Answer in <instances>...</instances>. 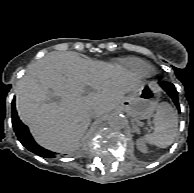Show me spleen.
<instances>
[{
    "mask_svg": "<svg viewBox=\"0 0 194 193\" xmlns=\"http://www.w3.org/2000/svg\"><path fill=\"white\" fill-rule=\"evenodd\" d=\"M154 132L146 134L142 140L160 148H166L174 141L178 126V117L172 107L161 103L154 116Z\"/></svg>",
    "mask_w": 194,
    "mask_h": 193,
    "instance_id": "3e777b00",
    "label": "spleen"
}]
</instances>
